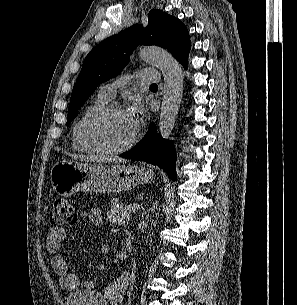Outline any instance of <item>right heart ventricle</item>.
Listing matches in <instances>:
<instances>
[{"instance_id":"obj_1","label":"right heart ventricle","mask_w":297,"mask_h":305,"mask_svg":"<svg viewBox=\"0 0 297 305\" xmlns=\"http://www.w3.org/2000/svg\"><path fill=\"white\" fill-rule=\"evenodd\" d=\"M108 99L104 98L100 94H98L93 101L83 110L81 113L80 117L76 121L74 127H73V132H72V141H73V147L75 150L80 151V152H86V153H92L93 151L88 149L80 140L79 135H78V126L82 118L88 114L90 111L94 110L97 107L106 105Z\"/></svg>"}]
</instances>
